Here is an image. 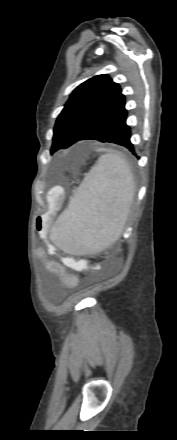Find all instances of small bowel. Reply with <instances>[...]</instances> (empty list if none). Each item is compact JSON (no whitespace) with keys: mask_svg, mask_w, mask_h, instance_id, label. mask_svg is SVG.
<instances>
[{"mask_svg":"<svg viewBox=\"0 0 177 440\" xmlns=\"http://www.w3.org/2000/svg\"><path fill=\"white\" fill-rule=\"evenodd\" d=\"M39 255L44 258L43 251H40ZM65 260L70 261L69 257H64ZM45 266L47 270L60 277L62 284L66 287H73L76 284V278L69 276L64 270L62 263L56 260L45 259Z\"/></svg>","mask_w":177,"mask_h":440,"instance_id":"c3829d8e","label":"small bowel"}]
</instances>
